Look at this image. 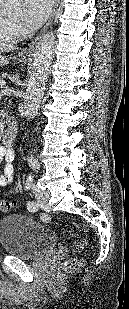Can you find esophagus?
<instances>
[{"mask_svg":"<svg viewBox=\"0 0 129 309\" xmlns=\"http://www.w3.org/2000/svg\"><path fill=\"white\" fill-rule=\"evenodd\" d=\"M58 6H59V0H55L54 5H53V11H52V14H51L48 22L43 27V29L40 31V33L28 44V46L22 50V54H24V55H31L32 54L37 42L42 37V35L45 33V31L48 29V27L51 25L53 18H54V15L57 12Z\"/></svg>","mask_w":129,"mask_h":309,"instance_id":"obj_1","label":"esophagus"}]
</instances>
